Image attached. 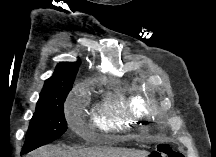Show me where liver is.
I'll return each instance as SVG.
<instances>
[{
  "instance_id": "obj_1",
  "label": "liver",
  "mask_w": 216,
  "mask_h": 157,
  "mask_svg": "<svg viewBox=\"0 0 216 157\" xmlns=\"http://www.w3.org/2000/svg\"><path fill=\"white\" fill-rule=\"evenodd\" d=\"M148 152L115 149V148H92V149H69L64 150L59 146H44L29 154V157H146Z\"/></svg>"
}]
</instances>
